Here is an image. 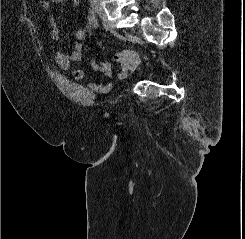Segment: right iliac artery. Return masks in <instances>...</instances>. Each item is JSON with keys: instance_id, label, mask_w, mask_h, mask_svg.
<instances>
[{"instance_id": "obj_1", "label": "right iliac artery", "mask_w": 245, "mask_h": 239, "mask_svg": "<svg viewBox=\"0 0 245 239\" xmlns=\"http://www.w3.org/2000/svg\"><path fill=\"white\" fill-rule=\"evenodd\" d=\"M102 26H103V28H104V30H105L106 32H109V27H108L107 24H105L104 22H102Z\"/></svg>"}]
</instances>
